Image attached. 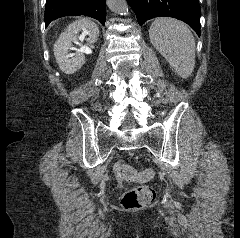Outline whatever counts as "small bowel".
I'll return each mask as SVG.
<instances>
[{
    "instance_id": "obj_1",
    "label": "small bowel",
    "mask_w": 240,
    "mask_h": 238,
    "mask_svg": "<svg viewBox=\"0 0 240 238\" xmlns=\"http://www.w3.org/2000/svg\"><path fill=\"white\" fill-rule=\"evenodd\" d=\"M119 168H120V163H116L114 166V172H115L116 176H117V171Z\"/></svg>"
}]
</instances>
